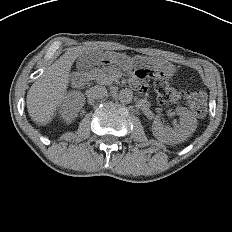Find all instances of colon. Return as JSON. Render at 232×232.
<instances>
[{
	"instance_id": "obj_1",
	"label": "colon",
	"mask_w": 232,
	"mask_h": 232,
	"mask_svg": "<svg viewBox=\"0 0 232 232\" xmlns=\"http://www.w3.org/2000/svg\"><path fill=\"white\" fill-rule=\"evenodd\" d=\"M155 85L160 96L168 95L172 100L176 99V92L160 74L157 75ZM188 100L197 114L204 115L206 111V94L202 90L192 91L188 96Z\"/></svg>"
}]
</instances>
